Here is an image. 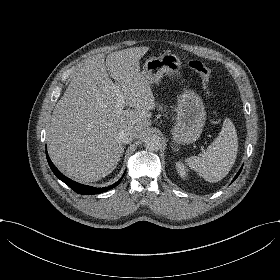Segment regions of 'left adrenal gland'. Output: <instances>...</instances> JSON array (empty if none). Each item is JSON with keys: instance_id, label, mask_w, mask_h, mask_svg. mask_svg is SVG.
I'll use <instances>...</instances> for the list:
<instances>
[{"instance_id": "left-adrenal-gland-1", "label": "left adrenal gland", "mask_w": 280, "mask_h": 280, "mask_svg": "<svg viewBox=\"0 0 280 280\" xmlns=\"http://www.w3.org/2000/svg\"><path fill=\"white\" fill-rule=\"evenodd\" d=\"M171 148H172L174 151H178V149H177V148H175V147H173V146H172Z\"/></svg>"}]
</instances>
